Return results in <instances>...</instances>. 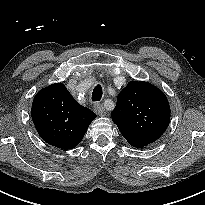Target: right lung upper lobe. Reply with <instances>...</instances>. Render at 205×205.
<instances>
[{"label":"right lung upper lobe","mask_w":205,"mask_h":205,"mask_svg":"<svg viewBox=\"0 0 205 205\" xmlns=\"http://www.w3.org/2000/svg\"><path fill=\"white\" fill-rule=\"evenodd\" d=\"M31 116L40 137L64 150L76 147L96 118V114L81 106L62 83L50 85L36 94Z\"/></svg>","instance_id":"cb5924a9"}]
</instances>
